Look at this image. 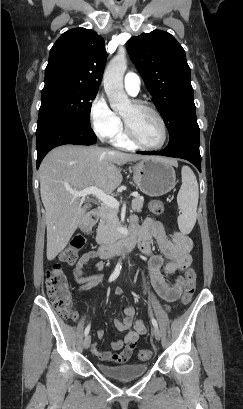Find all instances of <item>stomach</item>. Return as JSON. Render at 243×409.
Here are the masks:
<instances>
[{"mask_svg": "<svg viewBox=\"0 0 243 409\" xmlns=\"http://www.w3.org/2000/svg\"><path fill=\"white\" fill-rule=\"evenodd\" d=\"M133 180L144 194L158 197L170 192L176 181L172 161L162 157H147L132 166Z\"/></svg>", "mask_w": 243, "mask_h": 409, "instance_id": "1", "label": "stomach"}]
</instances>
